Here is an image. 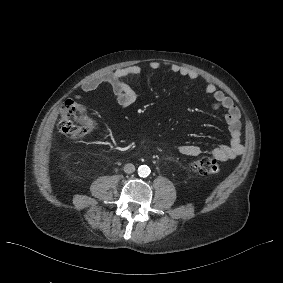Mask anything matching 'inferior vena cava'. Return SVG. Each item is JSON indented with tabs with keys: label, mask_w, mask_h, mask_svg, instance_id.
I'll return each mask as SVG.
<instances>
[{
	"label": "inferior vena cava",
	"mask_w": 283,
	"mask_h": 283,
	"mask_svg": "<svg viewBox=\"0 0 283 283\" xmlns=\"http://www.w3.org/2000/svg\"><path fill=\"white\" fill-rule=\"evenodd\" d=\"M135 171V166L132 163H128L124 165L125 173H133Z\"/></svg>",
	"instance_id": "602c4592"
}]
</instances>
